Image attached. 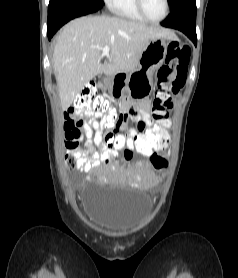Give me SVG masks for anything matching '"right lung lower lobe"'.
I'll return each instance as SVG.
<instances>
[{"instance_id":"right-lung-lower-lobe-1","label":"right lung lower lobe","mask_w":238,"mask_h":278,"mask_svg":"<svg viewBox=\"0 0 238 278\" xmlns=\"http://www.w3.org/2000/svg\"><path fill=\"white\" fill-rule=\"evenodd\" d=\"M100 6L84 0H50L48 6L47 34L50 40L56 31L68 21L96 12Z\"/></svg>"}]
</instances>
